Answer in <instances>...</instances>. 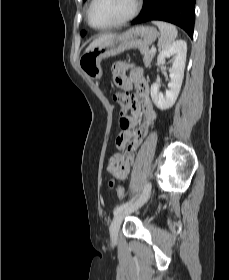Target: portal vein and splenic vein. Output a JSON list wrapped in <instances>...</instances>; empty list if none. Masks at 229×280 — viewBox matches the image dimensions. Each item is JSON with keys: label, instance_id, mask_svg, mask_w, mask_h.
Returning a JSON list of instances; mask_svg holds the SVG:
<instances>
[{"label": "portal vein and splenic vein", "instance_id": "obj_1", "mask_svg": "<svg viewBox=\"0 0 229 280\" xmlns=\"http://www.w3.org/2000/svg\"><path fill=\"white\" fill-rule=\"evenodd\" d=\"M150 51H151V52H156V48H155V47H152Z\"/></svg>", "mask_w": 229, "mask_h": 280}]
</instances>
